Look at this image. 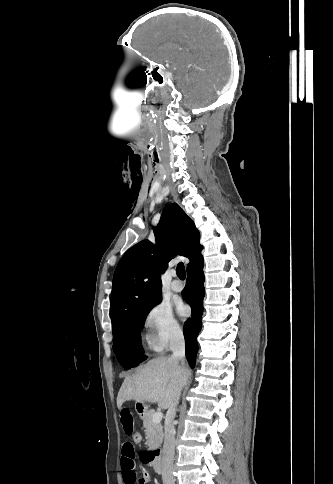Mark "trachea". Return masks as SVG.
I'll use <instances>...</instances> for the list:
<instances>
[{"label":"trachea","instance_id":"trachea-1","mask_svg":"<svg viewBox=\"0 0 333 484\" xmlns=\"http://www.w3.org/2000/svg\"><path fill=\"white\" fill-rule=\"evenodd\" d=\"M176 273H177V276L180 279H185L186 271H185L184 264L182 262L178 263L177 268H176Z\"/></svg>","mask_w":333,"mask_h":484}]
</instances>
